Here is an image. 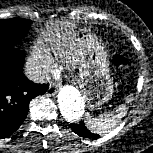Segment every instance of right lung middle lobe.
Listing matches in <instances>:
<instances>
[{"mask_svg": "<svg viewBox=\"0 0 153 153\" xmlns=\"http://www.w3.org/2000/svg\"><path fill=\"white\" fill-rule=\"evenodd\" d=\"M31 24V20L23 18L0 20V45L17 47V44L28 33Z\"/></svg>", "mask_w": 153, "mask_h": 153, "instance_id": "right-lung-middle-lobe-1", "label": "right lung middle lobe"}]
</instances>
